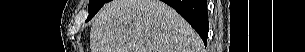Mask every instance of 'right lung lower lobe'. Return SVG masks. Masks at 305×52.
Instances as JSON below:
<instances>
[{
  "label": "right lung lower lobe",
  "instance_id": "98d812e1",
  "mask_svg": "<svg viewBox=\"0 0 305 52\" xmlns=\"http://www.w3.org/2000/svg\"><path fill=\"white\" fill-rule=\"evenodd\" d=\"M173 7L196 30L207 44L208 37V13L207 0H162Z\"/></svg>",
  "mask_w": 305,
  "mask_h": 52
}]
</instances>
